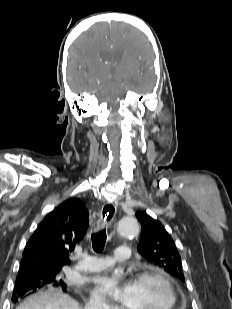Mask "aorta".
<instances>
[{"instance_id":"aorta-1","label":"aorta","mask_w":232,"mask_h":309,"mask_svg":"<svg viewBox=\"0 0 232 309\" xmlns=\"http://www.w3.org/2000/svg\"><path fill=\"white\" fill-rule=\"evenodd\" d=\"M118 231L123 237H133L139 233V225L134 217L125 216L117 224Z\"/></svg>"}]
</instances>
